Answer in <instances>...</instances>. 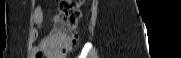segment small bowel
Here are the masks:
<instances>
[{"label":"small bowel","mask_w":181,"mask_h":58,"mask_svg":"<svg viewBox=\"0 0 181 58\" xmlns=\"http://www.w3.org/2000/svg\"><path fill=\"white\" fill-rule=\"evenodd\" d=\"M33 21L36 25L35 36H38L39 30L43 27L44 23V7L43 5H37L33 12ZM48 52V37L41 40L38 46L33 47L32 53L34 54L35 58L38 53L42 55Z\"/></svg>","instance_id":"c3829d8e"}]
</instances>
